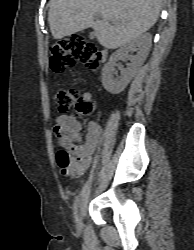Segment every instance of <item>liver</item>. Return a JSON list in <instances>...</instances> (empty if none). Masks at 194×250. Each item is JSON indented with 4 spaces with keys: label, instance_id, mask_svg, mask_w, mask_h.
Here are the masks:
<instances>
[{
    "label": "liver",
    "instance_id": "1",
    "mask_svg": "<svg viewBox=\"0 0 194 250\" xmlns=\"http://www.w3.org/2000/svg\"><path fill=\"white\" fill-rule=\"evenodd\" d=\"M48 6L55 39L93 28L102 46L116 49L157 22L161 0H50ZM96 14L102 19L95 21Z\"/></svg>",
    "mask_w": 194,
    "mask_h": 250
}]
</instances>
